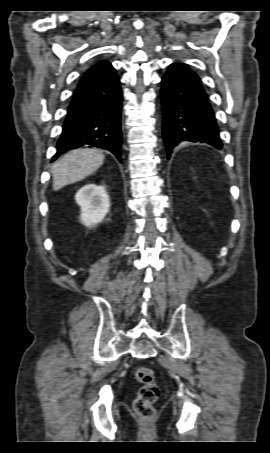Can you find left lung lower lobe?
<instances>
[{
	"instance_id": "obj_1",
	"label": "left lung lower lobe",
	"mask_w": 270,
	"mask_h": 453,
	"mask_svg": "<svg viewBox=\"0 0 270 453\" xmlns=\"http://www.w3.org/2000/svg\"><path fill=\"white\" fill-rule=\"evenodd\" d=\"M163 137L169 159L183 142L207 143L222 148L215 114L198 75L173 63L162 79Z\"/></svg>"
}]
</instances>
